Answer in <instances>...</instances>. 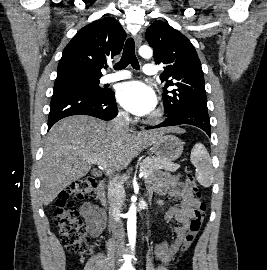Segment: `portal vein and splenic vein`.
Returning <instances> with one entry per match:
<instances>
[{
    "instance_id": "portal-vein-and-splenic-vein-1",
    "label": "portal vein and splenic vein",
    "mask_w": 267,
    "mask_h": 270,
    "mask_svg": "<svg viewBox=\"0 0 267 270\" xmlns=\"http://www.w3.org/2000/svg\"><path fill=\"white\" fill-rule=\"evenodd\" d=\"M88 162L93 163V164H100L98 159H94V158H88ZM102 166H104L103 164H101ZM148 174L145 172H140L139 177H147Z\"/></svg>"
}]
</instances>
